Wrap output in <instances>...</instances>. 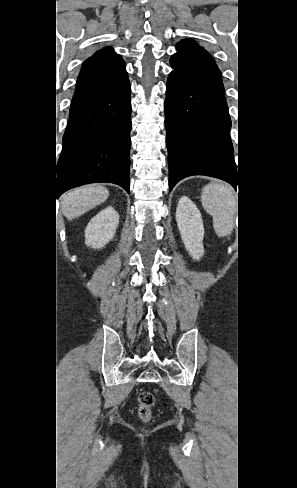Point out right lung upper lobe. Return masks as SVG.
<instances>
[{
    "mask_svg": "<svg viewBox=\"0 0 297 488\" xmlns=\"http://www.w3.org/2000/svg\"><path fill=\"white\" fill-rule=\"evenodd\" d=\"M126 74L122 57L111 47L97 51L82 65L71 107L94 97Z\"/></svg>",
    "mask_w": 297,
    "mask_h": 488,
    "instance_id": "cb5924a9",
    "label": "right lung upper lobe"
}]
</instances>
